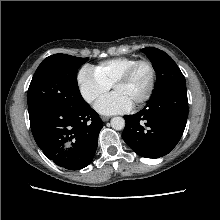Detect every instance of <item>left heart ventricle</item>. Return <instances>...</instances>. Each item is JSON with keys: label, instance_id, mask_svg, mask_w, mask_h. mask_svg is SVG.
Segmentation results:
<instances>
[{"label": "left heart ventricle", "instance_id": "b2bd125f", "mask_svg": "<svg viewBox=\"0 0 220 220\" xmlns=\"http://www.w3.org/2000/svg\"><path fill=\"white\" fill-rule=\"evenodd\" d=\"M150 69L147 65H141L137 68L132 78L125 84L114 89L125 97L132 105L140 100L147 92L150 84Z\"/></svg>", "mask_w": 220, "mask_h": 220}]
</instances>
